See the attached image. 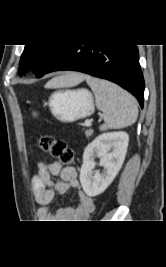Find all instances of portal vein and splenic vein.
Instances as JSON below:
<instances>
[{
    "label": "portal vein and splenic vein",
    "mask_w": 166,
    "mask_h": 267,
    "mask_svg": "<svg viewBox=\"0 0 166 267\" xmlns=\"http://www.w3.org/2000/svg\"><path fill=\"white\" fill-rule=\"evenodd\" d=\"M85 125H86L87 127H90V126H91V120H86V121H85Z\"/></svg>",
    "instance_id": "obj_1"
}]
</instances>
